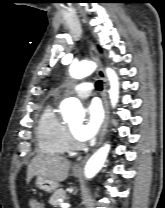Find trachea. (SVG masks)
<instances>
[{
    "label": "trachea",
    "instance_id": "1",
    "mask_svg": "<svg viewBox=\"0 0 165 208\" xmlns=\"http://www.w3.org/2000/svg\"><path fill=\"white\" fill-rule=\"evenodd\" d=\"M95 87L97 90H102V88H103L102 81L98 80L95 84Z\"/></svg>",
    "mask_w": 165,
    "mask_h": 208
}]
</instances>
